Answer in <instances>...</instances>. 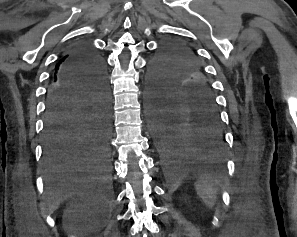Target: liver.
Returning <instances> with one entry per match:
<instances>
[{"instance_id": "6515ba94", "label": "liver", "mask_w": 297, "mask_h": 237, "mask_svg": "<svg viewBox=\"0 0 297 237\" xmlns=\"http://www.w3.org/2000/svg\"><path fill=\"white\" fill-rule=\"evenodd\" d=\"M85 182H88L87 180H86V178H73L70 182H68L66 185H65V191H66V193L68 192H70V191H76L77 189H78V187H79V185L78 184H83V183H85ZM64 198V196H62V195H59L58 196V200H62ZM58 205H59V202L58 201H56V202H54L53 204H52V206H51V209H50V212L52 213L54 210H56V208L58 207Z\"/></svg>"}]
</instances>
